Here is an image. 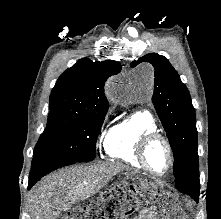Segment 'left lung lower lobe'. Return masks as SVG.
<instances>
[{"mask_svg": "<svg viewBox=\"0 0 221 219\" xmlns=\"http://www.w3.org/2000/svg\"><path fill=\"white\" fill-rule=\"evenodd\" d=\"M196 202L199 201V194H192L190 195Z\"/></svg>", "mask_w": 221, "mask_h": 219, "instance_id": "1", "label": "left lung lower lobe"}]
</instances>
